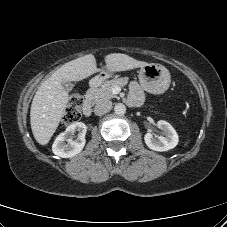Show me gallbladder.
I'll return each mask as SVG.
<instances>
[{"mask_svg": "<svg viewBox=\"0 0 227 227\" xmlns=\"http://www.w3.org/2000/svg\"><path fill=\"white\" fill-rule=\"evenodd\" d=\"M62 85L64 89L68 92L73 89V84L71 82H63Z\"/></svg>", "mask_w": 227, "mask_h": 227, "instance_id": "bac80fb5", "label": "gallbladder"}]
</instances>
